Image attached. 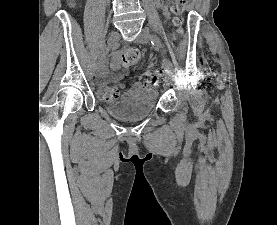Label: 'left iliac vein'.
<instances>
[{
    "label": "left iliac vein",
    "mask_w": 277,
    "mask_h": 225,
    "mask_svg": "<svg viewBox=\"0 0 277 225\" xmlns=\"http://www.w3.org/2000/svg\"><path fill=\"white\" fill-rule=\"evenodd\" d=\"M150 39V33L149 30L147 28L142 29L141 33L139 34V36L136 38V42L140 43V44H146ZM166 79L167 81H174V75L172 74H167L166 75Z\"/></svg>",
    "instance_id": "obj_1"
}]
</instances>
